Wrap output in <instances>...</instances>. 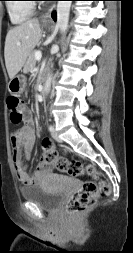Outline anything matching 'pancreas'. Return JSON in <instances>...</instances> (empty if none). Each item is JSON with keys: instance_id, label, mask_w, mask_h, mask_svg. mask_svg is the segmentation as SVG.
Instances as JSON below:
<instances>
[{"instance_id": "cf45deb5", "label": "pancreas", "mask_w": 133, "mask_h": 253, "mask_svg": "<svg viewBox=\"0 0 133 253\" xmlns=\"http://www.w3.org/2000/svg\"><path fill=\"white\" fill-rule=\"evenodd\" d=\"M35 51H31L28 55V58H27V61L24 65V73H28V72H31L35 65H36V59H35Z\"/></svg>"}]
</instances>
